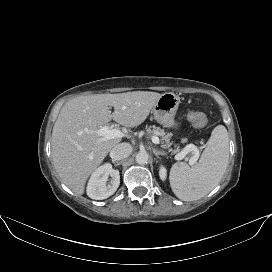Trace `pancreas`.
I'll use <instances>...</instances> for the list:
<instances>
[{
	"label": "pancreas",
	"mask_w": 272,
	"mask_h": 272,
	"mask_svg": "<svg viewBox=\"0 0 272 272\" xmlns=\"http://www.w3.org/2000/svg\"><path fill=\"white\" fill-rule=\"evenodd\" d=\"M146 131H147V133L149 135L160 136L161 137V141L164 144L165 148H169L171 146V143H170V134H166L165 131L163 129H161L160 127H156V126H152L151 127L150 126L149 128L146 129ZM186 148H188V146ZM168 150H169V152H171V154H176V153H179L181 151V149L178 146L175 147V149L169 148Z\"/></svg>",
	"instance_id": "obj_1"
}]
</instances>
